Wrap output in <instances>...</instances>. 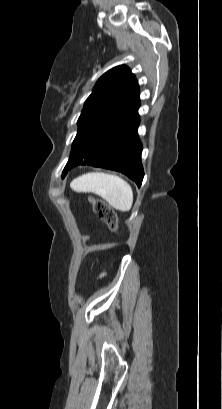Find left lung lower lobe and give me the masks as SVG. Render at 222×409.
I'll return each instance as SVG.
<instances>
[{"mask_svg": "<svg viewBox=\"0 0 222 409\" xmlns=\"http://www.w3.org/2000/svg\"><path fill=\"white\" fill-rule=\"evenodd\" d=\"M139 101L102 129L84 151L71 163L69 170L78 165H92L112 169L127 175L138 186L144 172L141 164L142 144L137 135Z\"/></svg>", "mask_w": 222, "mask_h": 409, "instance_id": "left-lung-lower-lobe-1", "label": "left lung lower lobe"}]
</instances>
